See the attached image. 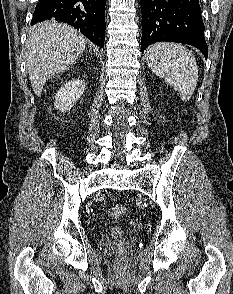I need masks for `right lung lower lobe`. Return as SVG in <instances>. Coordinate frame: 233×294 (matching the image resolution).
<instances>
[{
  "label": "right lung lower lobe",
  "mask_w": 233,
  "mask_h": 294,
  "mask_svg": "<svg viewBox=\"0 0 233 294\" xmlns=\"http://www.w3.org/2000/svg\"><path fill=\"white\" fill-rule=\"evenodd\" d=\"M105 3V0H39L31 24L48 19L59 20L72 25L103 48Z\"/></svg>",
  "instance_id": "right-lung-lower-lobe-1"
}]
</instances>
